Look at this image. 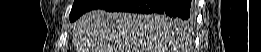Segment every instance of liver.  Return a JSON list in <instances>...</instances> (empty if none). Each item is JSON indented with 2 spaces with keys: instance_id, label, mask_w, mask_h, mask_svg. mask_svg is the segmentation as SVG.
Segmentation results:
<instances>
[{
  "instance_id": "liver-1",
  "label": "liver",
  "mask_w": 261,
  "mask_h": 52,
  "mask_svg": "<svg viewBox=\"0 0 261 52\" xmlns=\"http://www.w3.org/2000/svg\"><path fill=\"white\" fill-rule=\"evenodd\" d=\"M163 16L90 11L75 24L78 52H176L185 26Z\"/></svg>"
}]
</instances>
